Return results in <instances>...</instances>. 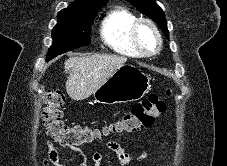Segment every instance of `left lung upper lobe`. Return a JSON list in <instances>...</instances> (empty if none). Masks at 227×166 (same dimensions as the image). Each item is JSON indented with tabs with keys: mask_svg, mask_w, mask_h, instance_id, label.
Here are the masks:
<instances>
[{
	"mask_svg": "<svg viewBox=\"0 0 227 166\" xmlns=\"http://www.w3.org/2000/svg\"><path fill=\"white\" fill-rule=\"evenodd\" d=\"M139 12L154 20L161 28L165 36L169 39V32L167 29V21L163 10L156 4L155 0H127Z\"/></svg>",
	"mask_w": 227,
	"mask_h": 166,
	"instance_id": "5c2ea615",
	"label": "left lung upper lobe"
}]
</instances>
